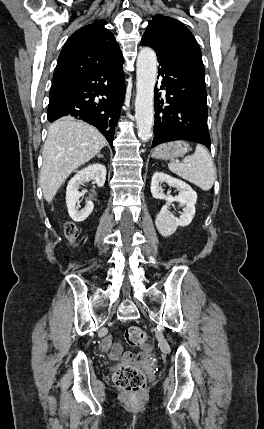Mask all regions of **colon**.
I'll return each instance as SVG.
<instances>
[{"label": "colon", "instance_id": "obj_1", "mask_svg": "<svg viewBox=\"0 0 264 429\" xmlns=\"http://www.w3.org/2000/svg\"><path fill=\"white\" fill-rule=\"evenodd\" d=\"M64 232L70 242L75 241L78 237V229L73 223H68ZM125 339L129 345L138 347L147 342L148 336L141 328L132 326L126 330ZM113 381L123 391L136 395L144 389L146 378L139 368L123 365L115 371Z\"/></svg>", "mask_w": 264, "mask_h": 429}]
</instances>
